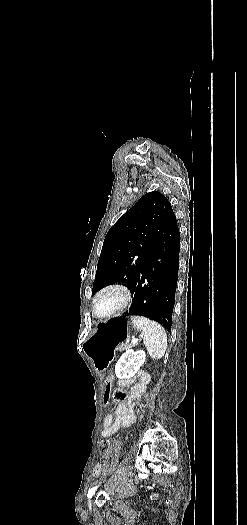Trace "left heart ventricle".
Masks as SVG:
<instances>
[{"mask_svg":"<svg viewBox=\"0 0 247 525\" xmlns=\"http://www.w3.org/2000/svg\"><path fill=\"white\" fill-rule=\"evenodd\" d=\"M122 293L117 291H105L96 301V309L98 312H104L116 307L122 300Z\"/></svg>","mask_w":247,"mask_h":525,"instance_id":"b2bd125f","label":"left heart ventricle"}]
</instances>
